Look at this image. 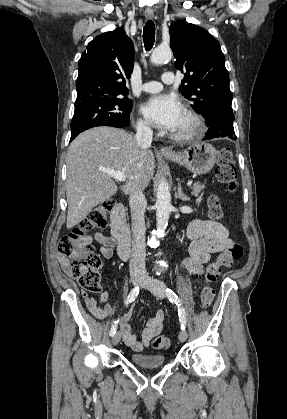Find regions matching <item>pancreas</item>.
<instances>
[{
	"mask_svg": "<svg viewBox=\"0 0 287 419\" xmlns=\"http://www.w3.org/2000/svg\"><path fill=\"white\" fill-rule=\"evenodd\" d=\"M205 188V185L204 184H200V183H195L194 184V186H193V188H192V193L195 195V196H198V194L201 192V190L202 189H204Z\"/></svg>",
	"mask_w": 287,
	"mask_h": 419,
	"instance_id": "obj_1",
	"label": "pancreas"
}]
</instances>
